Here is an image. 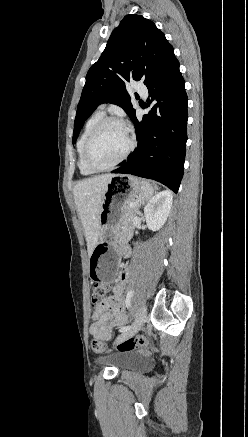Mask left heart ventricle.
Wrapping results in <instances>:
<instances>
[{"instance_id":"obj_1","label":"left heart ventricle","mask_w":248,"mask_h":437,"mask_svg":"<svg viewBox=\"0 0 248 437\" xmlns=\"http://www.w3.org/2000/svg\"><path fill=\"white\" fill-rule=\"evenodd\" d=\"M129 144L124 127L111 123L106 125L95 138L91 147V159L100 167L109 166L118 160Z\"/></svg>"}]
</instances>
